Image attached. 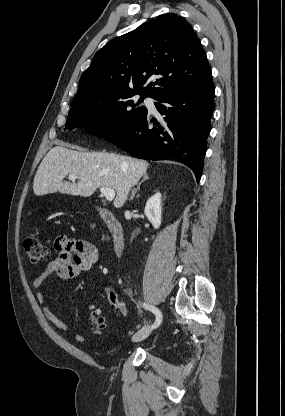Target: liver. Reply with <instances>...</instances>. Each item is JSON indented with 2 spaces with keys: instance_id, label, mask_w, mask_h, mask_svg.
Instances as JSON below:
<instances>
[{
  "instance_id": "obj_1",
  "label": "liver",
  "mask_w": 285,
  "mask_h": 416,
  "mask_svg": "<svg viewBox=\"0 0 285 416\" xmlns=\"http://www.w3.org/2000/svg\"><path fill=\"white\" fill-rule=\"evenodd\" d=\"M69 146L60 142L43 158L34 178L35 196L44 194H70L89 198L97 188H112L117 196L115 208L124 206L133 186L146 174L149 166L145 160H135L129 156L105 154V152H74ZM75 174L77 184L63 182L65 176Z\"/></svg>"
}]
</instances>
